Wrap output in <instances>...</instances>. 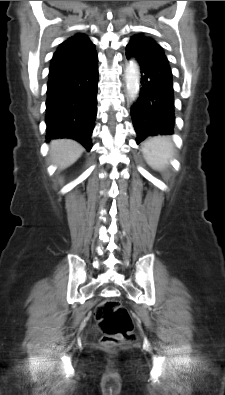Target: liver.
Wrapping results in <instances>:
<instances>
[{
  "label": "liver",
  "instance_id": "1",
  "mask_svg": "<svg viewBox=\"0 0 225 395\" xmlns=\"http://www.w3.org/2000/svg\"><path fill=\"white\" fill-rule=\"evenodd\" d=\"M83 152V146L74 140L59 139L50 143L52 163L61 170L74 164Z\"/></svg>",
  "mask_w": 225,
  "mask_h": 395
}]
</instances>
